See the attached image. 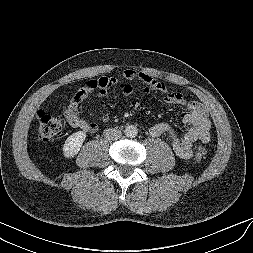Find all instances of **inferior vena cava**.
Instances as JSON below:
<instances>
[{
    "mask_svg": "<svg viewBox=\"0 0 253 253\" xmlns=\"http://www.w3.org/2000/svg\"><path fill=\"white\" fill-rule=\"evenodd\" d=\"M104 137L108 140H118L121 138L122 133L116 128H109L104 130Z\"/></svg>",
    "mask_w": 253,
    "mask_h": 253,
    "instance_id": "inferior-vena-cava-1",
    "label": "inferior vena cava"
}]
</instances>
